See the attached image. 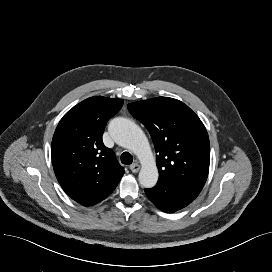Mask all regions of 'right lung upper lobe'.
I'll list each match as a JSON object with an SVG mask.
<instances>
[{"label": "right lung upper lobe", "instance_id": "1", "mask_svg": "<svg viewBox=\"0 0 272 272\" xmlns=\"http://www.w3.org/2000/svg\"><path fill=\"white\" fill-rule=\"evenodd\" d=\"M122 105L121 99L88 98L69 110L55 130L51 144L55 175L64 191L83 206L104 200L124 174L102 141L107 121Z\"/></svg>", "mask_w": 272, "mask_h": 272}]
</instances>
